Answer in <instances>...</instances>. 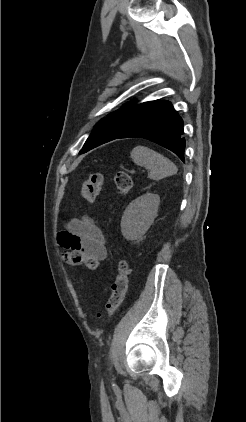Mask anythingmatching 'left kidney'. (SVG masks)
I'll return each instance as SVG.
<instances>
[{
  "instance_id": "obj_1",
  "label": "left kidney",
  "mask_w": 246,
  "mask_h": 422,
  "mask_svg": "<svg viewBox=\"0 0 246 422\" xmlns=\"http://www.w3.org/2000/svg\"><path fill=\"white\" fill-rule=\"evenodd\" d=\"M160 197L147 193L133 200L121 219V232L127 240H140L157 217Z\"/></svg>"
}]
</instances>
